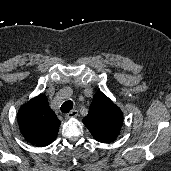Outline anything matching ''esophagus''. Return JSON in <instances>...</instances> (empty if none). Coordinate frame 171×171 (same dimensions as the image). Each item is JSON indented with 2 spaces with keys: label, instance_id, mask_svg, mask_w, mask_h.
I'll list each match as a JSON object with an SVG mask.
<instances>
[{
  "label": "esophagus",
  "instance_id": "1",
  "mask_svg": "<svg viewBox=\"0 0 171 171\" xmlns=\"http://www.w3.org/2000/svg\"><path fill=\"white\" fill-rule=\"evenodd\" d=\"M79 114H78V111L77 110H72L70 111L68 114L65 115V118L66 119H69V118H76L78 117Z\"/></svg>",
  "mask_w": 171,
  "mask_h": 171
}]
</instances>
